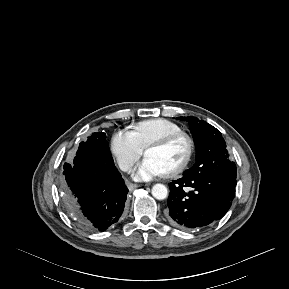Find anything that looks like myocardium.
<instances>
[{
  "mask_svg": "<svg viewBox=\"0 0 289 289\" xmlns=\"http://www.w3.org/2000/svg\"><path fill=\"white\" fill-rule=\"evenodd\" d=\"M178 140L184 141L186 145V153H185L183 160L176 167H174L173 169H171L170 171L166 173L167 176H176L182 173L189 166L193 158L194 150H195L193 139L189 135L183 132L173 133L150 143L146 147V150H145V153H146L149 149L164 148Z\"/></svg>",
  "mask_w": 289,
  "mask_h": 289,
  "instance_id": "1",
  "label": "myocardium"
}]
</instances>
